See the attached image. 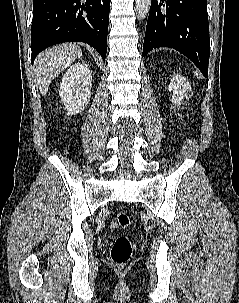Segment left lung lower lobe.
I'll return each instance as SVG.
<instances>
[{
	"label": "left lung lower lobe",
	"instance_id": "left-lung-lower-lobe-1",
	"mask_svg": "<svg viewBox=\"0 0 239 303\" xmlns=\"http://www.w3.org/2000/svg\"><path fill=\"white\" fill-rule=\"evenodd\" d=\"M156 47L179 51L208 78L210 40L206 0H152L142 56Z\"/></svg>",
	"mask_w": 239,
	"mask_h": 303
}]
</instances>
